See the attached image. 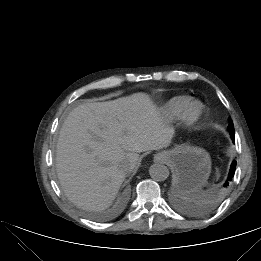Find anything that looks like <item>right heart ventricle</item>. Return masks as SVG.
Here are the masks:
<instances>
[{
	"label": "right heart ventricle",
	"mask_w": 261,
	"mask_h": 261,
	"mask_svg": "<svg viewBox=\"0 0 261 261\" xmlns=\"http://www.w3.org/2000/svg\"><path fill=\"white\" fill-rule=\"evenodd\" d=\"M192 99L189 96H176L168 100L163 108L164 114L170 118H177L184 114Z\"/></svg>",
	"instance_id": "1"
}]
</instances>
